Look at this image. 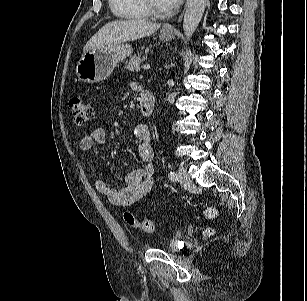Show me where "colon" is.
<instances>
[{
	"label": "colon",
	"mask_w": 307,
	"mask_h": 301,
	"mask_svg": "<svg viewBox=\"0 0 307 301\" xmlns=\"http://www.w3.org/2000/svg\"><path fill=\"white\" fill-rule=\"evenodd\" d=\"M69 109L75 123L80 126L88 123L94 116L93 105L81 97H72L69 100ZM205 215L209 218L214 217L215 210L209 208L205 211ZM123 217L128 225L141 232L151 233L154 230V224L150 219H138L130 212H125ZM206 234H211V230H207Z\"/></svg>",
	"instance_id": "5ec220e1"
}]
</instances>
